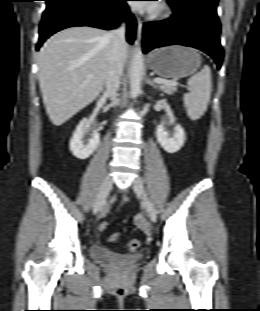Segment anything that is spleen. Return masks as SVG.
<instances>
[{"label":"spleen","instance_id":"spleen-1","mask_svg":"<svg viewBox=\"0 0 260 311\" xmlns=\"http://www.w3.org/2000/svg\"><path fill=\"white\" fill-rule=\"evenodd\" d=\"M189 92L183 96L187 114L191 120H198L207 110L212 83L211 69L205 65L201 71L188 79Z\"/></svg>","mask_w":260,"mask_h":311}]
</instances>
